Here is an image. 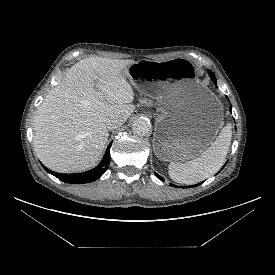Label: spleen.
Segmentation results:
<instances>
[{
  "label": "spleen",
  "instance_id": "3e777b00",
  "mask_svg": "<svg viewBox=\"0 0 275 275\" xmlns=\"http://www.w3.org/2000/svg\"><path fill=\"white\" fill-rule=\"evenodd\" d=\"M231 138V125L227 124L211 146L198 157L185 163L171 162L168 166L170 178L181 184H194L210 177L223 165Z\"/></svg>",
  "mask_w": 275,
  "mask_h": 275
}]
</instances>
